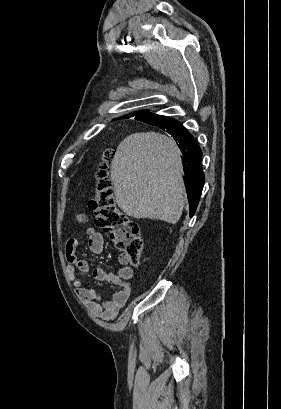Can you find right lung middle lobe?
<instances>
[{
  "mask_svg": "<svg viewBox=\"0 0 281 409\" xmlns=\"http://www.w3.org/2000/svg\"><path fill=\"white\" fill-rule=\"evenodd\" d=\"M177 121L171 118H167L164 116H158L152 119H149L146 121V123L154 125V126H158L162 129H165L167 126L176 123Z\"/></svg>",
  "mask_w": 281,
  "mask_h": 409,
  "instance_id": "1",
  "label": "right lung middle lobe"
}]
</instances>
